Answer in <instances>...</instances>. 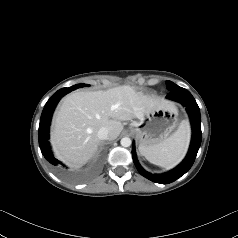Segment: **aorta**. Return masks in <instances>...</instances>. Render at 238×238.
Returning a JSON list of instances; mask_svg holds the SVG:
<instances>
[{"instance_id": "obj_1", "label": "aorta", "mask_w": 238, "mask_h": 238, "mask_svg": "<svg viewBox=\"0 0 238 238\" xmlns=\"http://www.w3.org/2000/svg\"><path fill=\"white\" fill-rule=\"evenodd\" d=\"M120 143L123 147H129L131 145L132 141L129 137H124L121 139Z\"/></svg>"}]
</instances>
